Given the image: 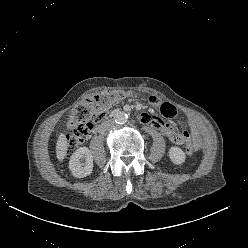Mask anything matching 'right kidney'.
Listing matches in <instances>:
<instances>
[{
  "instance_id": "1",
  "label": "right kidney",
  "mask_w": 248,
  "mask_h": 248,
  "mask_svg": "<svg viewBox=\"0 0 248 248\" xmlns=\"http://www.w3.org/2000/svg\"><path fill=\"white\" fill-rule=\"evenodd\" d=\"M84 160V161H83ZM69 169L77 178H84L93 171V156L87 147L78 148L70 157Z\"/></svg>"
}]
</instances>
